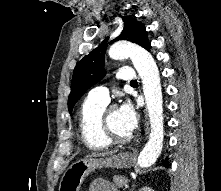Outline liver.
Returning <instances> with one entry per match:
<instances>
[{"label":"liver","mask_w":221,"mask_h":191,"mask_svg":"<svg viewBox=\"0 0 221 191\" xmlns=\"http://www.w3.org/2000/svg\"><path fill=\"white\" fill-rule=\"evenodd\" d=\"M117 150L114 151H108V152H103V153H92L91 155H88L87 157H100V156H109V155H113L114 153H116Z\"/></svg>","instance_id":"liver-1"}]
</instances>
